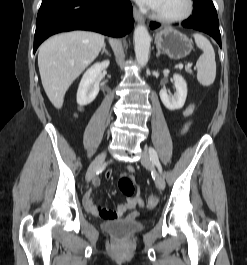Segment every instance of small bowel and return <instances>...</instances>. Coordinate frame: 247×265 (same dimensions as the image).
I'll return each instance as SVG.
<instances>
[{
    "label": "small bowel",
    "mask_w": 247,
    "mask_h": 265,
    "mask_svg": "<svg viewBox=\"0 0 247 265\" xmlns=\"http://www.w3.org/2000/svg\"><path fill=\"white\" fill-rule=\"evenodd\" d=\"M195 109V105L193 103H189L186 108L183 110V116L187 117L190 116ZM190 123L186 124L181 133H185L189 127ZM126 170L128 172H133V166H127ZM106 178L111 177V171H106L105 173ZM99 181L95 180L94 185H98ZM83 204L84 207L88 212L91 214L100 217L106 220H114L117 218L122 217L126 212H131L129 214L130 217H136L138 215L137 208L143 206V200L140 197H133L129 198L125 203L119 205L116 209H107L102 207L99 204L94 203L91 191H88L83 197Z\"/></svg>",
    "instance_id": "small-bowel-1"
}]
</instances>
